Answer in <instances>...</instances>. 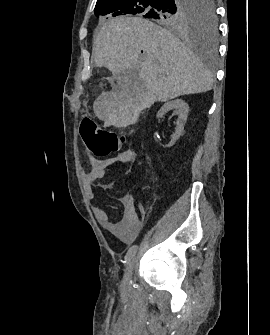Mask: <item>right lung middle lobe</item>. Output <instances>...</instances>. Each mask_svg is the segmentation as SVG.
Wrapping results in <instances>:
<instances>
[{
  "mask_svg": "<svg viewBox=\"0 0 270 335\" xmlns=\"http://www.w3.org/2000/svg\"><path fill=\"white\" fill-rule=\"evenodd\" d=\"M94 13L100 19L141 14L174 30L205 34L211 42L217 33L213 0H97Z\"/></svg>",
  "mask_w": 270,
  "mask_h": 335,
  "instance_id": "dd1d6c3e",
  "label": "right lung middle lobe"
}]
</instances>
